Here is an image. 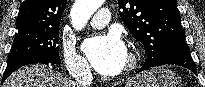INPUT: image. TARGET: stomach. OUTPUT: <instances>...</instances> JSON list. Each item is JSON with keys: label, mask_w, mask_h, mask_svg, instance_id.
I'll list each match as a JSON object with an SVG mask.
<instances>
[{"label": "stomach", "mask_w": 205, "mask_h": 87, "mask_svg": "<svg viewBox=\"0 0 205 87\" xmlns=\"http://www.w3.org/2000/svg\"><path fill=\"white\" fill-rule=\"evenodd\" d=\"M181 85V80L175 73L163 68H152L137 74L126 87H181Z\"/></svg>", "instance_id": "1"}]
</instances>
